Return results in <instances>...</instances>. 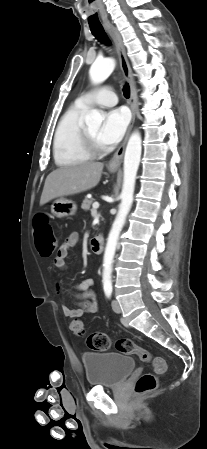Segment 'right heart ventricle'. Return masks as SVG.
Segmentation results:
<instances>
[{"label": "right heart ventricle", "instance_id": "1", "mask_svg": "<svg viewBox=\"0 0 207 449\" xmlns=\"http://www.w3.org/2000/svg\"><path fill=\"white\" fill-rule=\"evenodd\" d=\"M88 106L73 105L60 118L53 138V156L56 165L72 166L91 158L80 142L82 117Z\"/></svg>", "mask_w": 207, "mask_h": 449}]
</instances>
